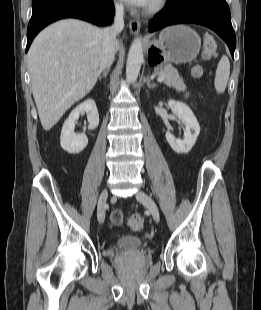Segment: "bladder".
Listing matches in <instances>:
<instances>
[{
	"mask_svg": "<svg viewBox=\"0 0 261 310\" xmlns=\"http://www.w3.org/2000/svg\"><path fill=\"white\" fill-rule=\"evenodd\" d=\"M116 248L124 252H137L146 247V243L141 237L135 235L122 236L116 241Z\"/></svg>",
	"mask_w": 261,
	"mask_h": 310,
	"instance_id": "bladder-1",
	"label": "bladder"
}]
</instances>
